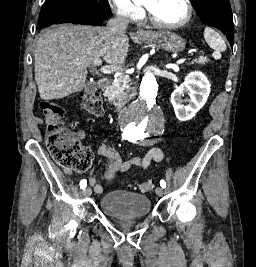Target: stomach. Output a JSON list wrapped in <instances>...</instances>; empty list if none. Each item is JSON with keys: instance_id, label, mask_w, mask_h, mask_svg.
I'll list each match as a JSON object with an SVG mask.
<instances>
[{"instance_id": "stomach-1", "label": "stomach", "mask_w": 256, "mask_h": 267, "mask_svg": "<svg viewBox=\"0 0 256 267\" xmlns=\"http://www.w3.org/2000/svg\"><path fill=\"white\" fill-rule=\"evenodd\" d=\"M140 40H148V42H153V44H157L166 52H182L185 50L186 42L181 38V36H177V34H173V32H157V34H150L149 38H139Z\"/></svg>"}]
</instances>
